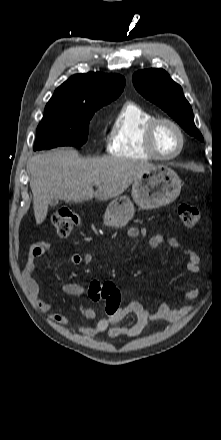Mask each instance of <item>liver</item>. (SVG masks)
<instances>
[{"mask_svg": "<svg viewBox=\"0 0 221 440\" xmlns=\"http://www.w3.org/2000/svg\"><path fill=\"white\" fill-rule=\"evenodd\" d=\"M154 167L146 161L102 157L84 159L73 149H55L31 157L30 188L37 224H41L53 199L84 202L108 200L122 194L143 173ZM93 186L98 190L94 191Z\"/></svg>", "mask_w": 221, "mask_h": 440, "instance_id": "6515ba94", "label": "liver"}]
</instances>
